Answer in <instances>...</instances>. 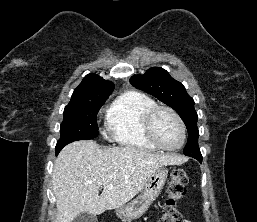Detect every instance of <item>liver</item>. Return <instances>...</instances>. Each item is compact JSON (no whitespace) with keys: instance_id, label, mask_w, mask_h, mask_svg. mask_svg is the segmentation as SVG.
<instances>
[{"instance_id":"obj_1","label":"liver","mask_w":257,"mask_h":222,"mask_svg":"<svg viewBox=\"0 0 257 222\" xmlns=\"http://www.w3.org/2000/svg\"><path fill=\"white\" fill-rule=\"evenodd\" d=\"M185 161L132 147L102 148L91 140L70 143L53 168L56 222H72L82 212L95 216L119 208L144 188L154 171Z\"/></svg>"}]
</instances>
